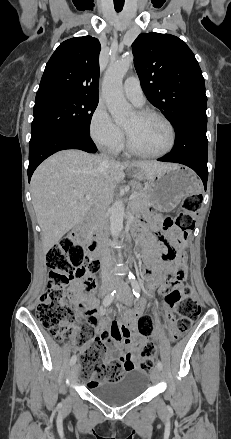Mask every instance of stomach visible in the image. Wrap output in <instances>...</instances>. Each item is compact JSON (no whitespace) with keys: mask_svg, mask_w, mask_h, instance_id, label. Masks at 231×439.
Masks as SVG:
<instances>
[{"mask_svg":"<svg viewBox=\"0 0 231 439\" xmlns=\"http://www.w3.org/2000/svg\"><path fill=\"white\" fill-rule=\"evenodd\" d=\"M132 175L138 180L145 179L142 169H132ZM199 190V180L189 168L175 165L155 175L150 181L147 192L150 204L161 212L173 210L183 199Z\"/></svg>","mask_w":231,"mask_h":439,"instance_id":"1","label":"stomach"}]
</instances>
